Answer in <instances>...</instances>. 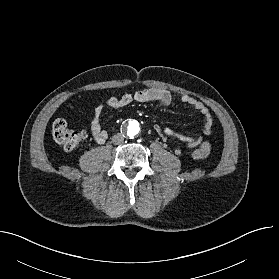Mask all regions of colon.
<instances>
[{"label":"colon","mask_w":279,"mask_h":279,"mask_svg":"<svg viewBox=\"0 0 279 279\" xmlns=\"http://www.w3.org/2000/svg\"><path fill=\"white\" fill-rule=\"evenodd\" d=\"M86 132L73 130L68 126L64 119H57L52 126V138L60 144L65 150H73L81 146L86 139ZM211 151V144L208 140H203L198 148L193 151V157L196 160L206 158Z\"/></svg>","instance_id":"obj_1"}]
</instances>
